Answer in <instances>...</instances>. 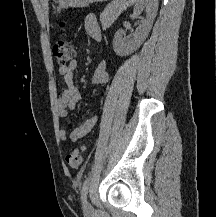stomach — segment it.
<instances>
[{
    "mask_svg": "<svg viewBox=\"0 0 216 217\" xmlns=\"http://www.w3.org/2000/svg\"><path fill=\"white\" fill-rule=\"evenodd\" d=\"M107 0H57L59 4L57 11L60 12L62 9L68 7L73 8H84L95 2H106Z\"/></svg>",
    "mask_w": 216,
    "mask_h": 217,
    "instance_id": "obj_1",
    "label": "stomach"
}]
</instances>
